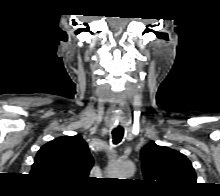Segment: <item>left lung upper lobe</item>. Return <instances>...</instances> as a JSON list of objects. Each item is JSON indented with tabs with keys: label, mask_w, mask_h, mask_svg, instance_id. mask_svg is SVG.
I'll use <instances>...</instances> for the list:
<instances>
[{
	"label": "left lung upper lobe",
	"mask_w": 220,
	"mask_h": 196,
	"mask_svg": "<svg viewBox=\"0 0 220 196\" xmlns=\"http://www.w3.org/2000/svg\"><path fill=\"white\" fill-rule=\"evenodd\" d=\"M141 159L146 182L160 192L182 193L196 184L191 162L176 150L151 141L142 148Z\"/></svg>",
	"instance_id": "5c2ea615"
}]
</instances>
